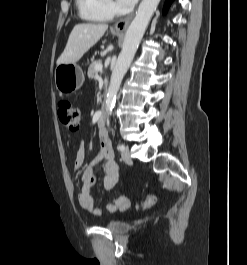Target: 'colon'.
I'll return each mask as SVG.
<instances>
[{"mask_svg":"<svg viewBox=\"0 0 247 265\" xmlns=\"http://www.w3.org/2000/svg\"><path fill=\"white\" fill-rule=\"evenodd\" d=\"M58 116L61 123L71 132H77L80 127V111L69 101L63 100L58 104ZM156 198L153 195H148L141 204L144 208L153 206Z\"/></svg>","mask_w":247,"mask_h":265,"instance_id":"5ec220e1","label":"colon"}]
</instances>
